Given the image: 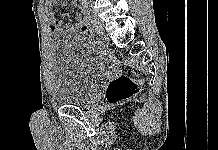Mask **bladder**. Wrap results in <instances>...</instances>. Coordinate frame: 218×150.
Instances as JSON below:
<instances>
[{
  "instance_id": "obj_1",
  "label": "bladder",
  "mask_w": 218,
  "mask_h": 150,
  "mask_svg": "<svg viewBox=\"0 0 218 150\" xmlns=\"http://www.w3.org/2000/svg\"><path fill=\"white\" fill-rule=\"evenodd\" d=\"M53 52V96L62 105L87 103L112 70L111 61L97 47L71 31L56 34Z\"/></svg>"
}]
</instances>
